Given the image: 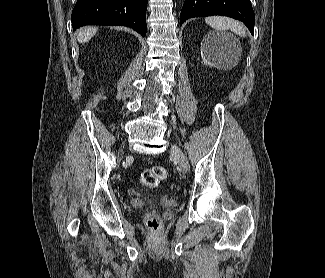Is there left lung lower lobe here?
Returning <instances> with one entry per match:
<instances>
[{
    "label": "left lung lower lobe",
    "mask_w": 325,
    "mask_h": 278,
    "mask_svg": "<svg viewBox=\"0 0 325 278\" xmlns=\"http://www.w3.org/2000/svg\"><path fill=\"white\" fill-rule=\"evenodd\" d=\"M223 15L242 21L254 31V11L250 0H185L180 14V26L188 18Z\"/></svg>",
    "instance_id": "obj_1"
}]
</instances>
